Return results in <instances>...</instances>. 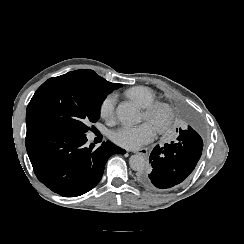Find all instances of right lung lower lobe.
<instances>
[{
    "label": "right lung lower lobe",
    "instance_id": "right-lung-lower-lobe-1",
    "mask_svg": "<svg viewBox=\"0 0 244 244\" xmlns=\"http://www.w3.org/2000/svg\"><path fill=\"white\" fill-rule=\"evenodd\" d=\"M86 142V135L28 130L26 149L39 181L62 196H79L97 185L112 154L126 152L109 141L97 149Z\"/></svg>",
    "mask_w": 244,
    "mask_h": 244
}]
</instances>
